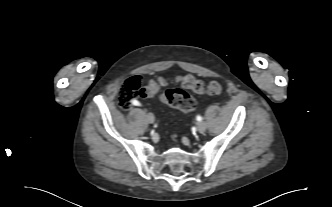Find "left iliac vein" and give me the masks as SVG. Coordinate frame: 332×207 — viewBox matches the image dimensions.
I'll use <instances>...</instances> for the list:
<instances>
[{
  "label": "left iliac vein",
  "instance_id": "4c4485c4",
  "mask_svg": "<svg viewBox=\"0 0 332 207\" xmlns=\"http://www.w3.org/2000/svg\"><path fill=\"white\" fill-rule=\"evenodd\" d=\"M206 128H207V124L205 121H199L197 123V129L200 133L204 132L206 130Z\"/></svg>",
  "mask_w": 332,
  "mask_h": 207
}]
</instances>
